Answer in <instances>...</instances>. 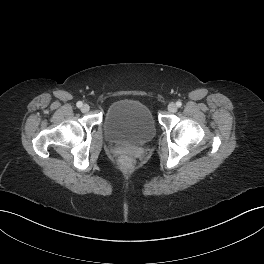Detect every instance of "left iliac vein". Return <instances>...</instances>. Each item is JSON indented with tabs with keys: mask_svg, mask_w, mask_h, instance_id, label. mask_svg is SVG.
<instances>
[{
	"mask_svg": "<svg viewBox=\"0 0 264 264\" xmlns=\"http://www.w3.org/2000/svg\"><path fill=\"white\" fill-rule=\"evenodd\" d=\"M168 110H169V112H171V113H175V112L177 111V106H176V104L173 103V102L169 103V105H168Z\"/></svg>",
	"mask_w": 264,
	"mask_h": 264,
	"instance_id": "4c4485c4",
	"label": "left iliac vein"
}]
</instances>
